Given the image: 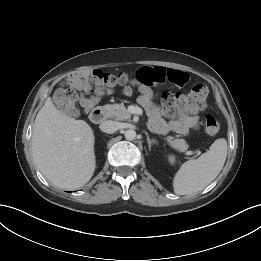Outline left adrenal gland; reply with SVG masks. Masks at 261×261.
<instances>
[{
	"instance_id": "left-adrenal-gland-1",
	"label": "left adrenal gland",
	"mask_w": 261,
	"mask_h": 261,
	"mask_svg": "<svg viewBox=\"0 0 261 261\" xmlns=\"http://www.w3.org/2000/svg\"><path fill=\"white\" fill-rule=\"evenodd\" d=\"M147 143H148L149 150L151 149V146L153 144H158L156 139H150L149 136H147Z\"/></svg>"
}]
</instances>
